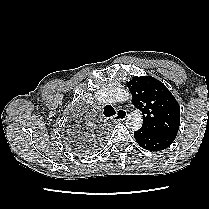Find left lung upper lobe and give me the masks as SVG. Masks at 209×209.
Returning a JSON list of instances; mask_svg holds the SVG:
<instances>
[{
    "label": "left lung upper lobe",
    "instance_id": "obj_1",
    "mask_svg": "<svg viewBox=\"0 0 209 209\" xmlns=\"http://www.w3.org/2000/svg\"><path fill=\"white\" fill-rule=\"evenodd\" d=\"M134 105L143 114L141 129L176 138L180 125V106L159 80L150 76L134 77L127 83Z\"/></svg>",
    "mask_w": 209,
    "mask_h": 209
}]
</instances>
